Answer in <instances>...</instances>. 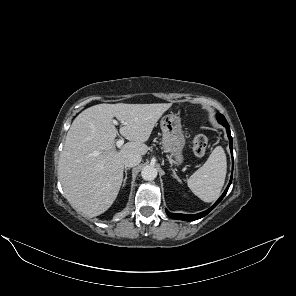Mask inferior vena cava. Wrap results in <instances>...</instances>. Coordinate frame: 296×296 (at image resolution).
<instances>
[{"instance_id": "602c4592", "label": "inferior vena cava", "mask_w": 296, "mask_h": 296, "mask_svg": "<svg viewBox=\"0 0 296 296\" xmlns=\"http://www.w3.org/2000/svg\"><path fill=\"white\" fill-rule=\"evenodd\" d=\"M141 160H142L141 155H139V154H130L124 160V165L126 167H134V166L138 165L141 162Z\"/></svg>"}]
</instances>
